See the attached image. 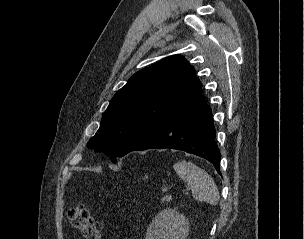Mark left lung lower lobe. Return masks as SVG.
<instances>
[{"instance_id": "left-lung-lower-lobe-1", "label": "left lung lower lobe", "mask_w": 304, "mask_h": 239, "mask_svg": "<svg viewBox=\"0 0 304 239\" xmlns=\"http://www.w3.org/2000/svg\"><path fill=\"white\" fill-rule=\"evenodd\" d=\"M212 112L203 95L154 131L132 151L171 148L183 150L210 161L220 173V151Z\"/></svg>"}]
</instances>
